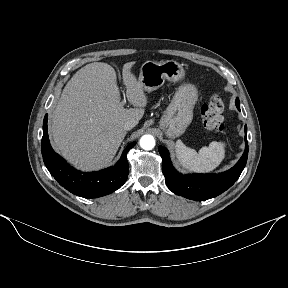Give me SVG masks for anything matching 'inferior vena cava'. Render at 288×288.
Masks as SVG:
<instances>
[{
  "label": "inferior vena cava",
  "instance_id": "inferior-vena-cava-1",
  "mask_svg": "<svg viewBox=\"0 0 288 288\" xmlns=\"http://www.w3.org/2000/svg\"><path fill=\"white\" fill-rule=\"evenodd\" d=\"M136 125H137V122L135 120L131 119V120H128L125 122L123 128H124V130L128 131V130H131L132 128H134Z\"/></svg>",
  "mask_w": 288,
  "mask_h": 288
}]
</instances>
